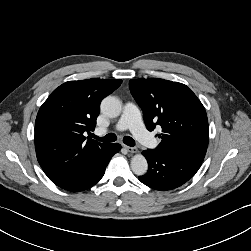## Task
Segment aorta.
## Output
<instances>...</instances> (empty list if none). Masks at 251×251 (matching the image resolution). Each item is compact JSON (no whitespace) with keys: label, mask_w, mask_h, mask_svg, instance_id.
<instances>
[{"label":"aorta","mask_w":251,"mask_h":251,"mask_svg":"<svg viewBox=\"0 0 251 251\" xmlns=\"http://www.w3.org/2000/svg\"><path fill=\"white\" fill-rule=\"evenodd\" d=\"M100 109L105 116L115 118L120 115L122 104L118 98L108 96L102 100ZM131 168L136 175H144L148 169L146 158L142 154H136L131 159Z\"/></svg>","instance_id":"762f6f07"}]
</instances>
